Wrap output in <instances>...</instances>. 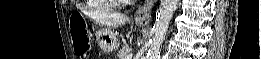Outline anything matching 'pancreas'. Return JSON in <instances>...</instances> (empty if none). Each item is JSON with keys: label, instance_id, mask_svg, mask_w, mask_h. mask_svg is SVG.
<instances>
[{"label": "pancreas", "instance_id": "1", "mask_svg": "<svg viewBox=\"0 0 261 59\" xmlns=\"http://www.w3.org/2000/svg\"><path fill=\"white\" fill-rule=\"evenodd\" d=\"M132 52V49L129 45H125L121 50L118 51V59H126V57Z\"/></svg>", "mask_w": 261, "mask_h": 59}]
</instances>
